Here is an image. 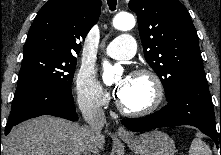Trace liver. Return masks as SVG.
Wrapping results in <instances>:
<instances>
[{
	"instance_id": "1",
	"label": "liver",
	"mask_w": 221,
	"mask_h": 155,
	"mask_svg": "<svg viewBox=\"0 0 221 155\" xmlns=\"http://www.w3.org/2000/svg\"><path fill=\"white\" fill-rule=\"evenodd\" d=\"M85 128L52 116H40L12 128L3 143V155H81ZM96 151L105 137L96 136Z\"/></svg>"
}]
</instances>
